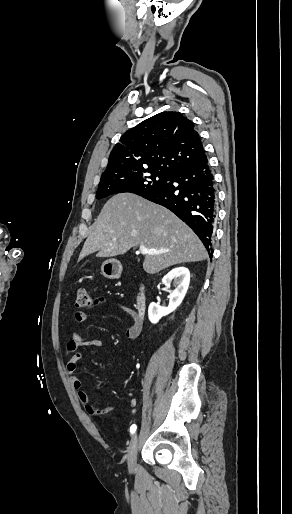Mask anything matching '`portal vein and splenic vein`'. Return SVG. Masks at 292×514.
<instances>
[{
	"instance_id": "18ae733b",
	"label": "portal vein and splenic vein",
	"mask_w": 292,
	"mask_h": 514,
	"mask_svg": "<svg viewBox=\"0 0 292 514\" xmlns=\"http://www.w3.org/2000/svg\"><path fill=\"white\" fill-rule=\"evenodd\" d=\"M139 250L141 254H165V252H169V250H148L145 246H140Z\"/></svg>"
}]
</instances>
